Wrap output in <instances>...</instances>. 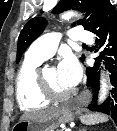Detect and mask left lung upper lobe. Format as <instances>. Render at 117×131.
Instances as JSON below:
<instances>
[{"mask_svg":"<svg viewBox=\"0 0 117 131\" xmlns=\"http://www.w3.org/2000/svg\"><path fill=\"white\" fill-rule=\"evenodd\" d=\"M109 2V0H60L53 12L61 13L75 8L83 11L88 19H82L78 24L83 25L85 30L92 31L98 23L102 10ZM45 26L46 20L41 17H34L26 23L18 38L17 63L27 47L43 32ZM84 58L82 56V60Z\"/></svg>","mask_w":117,"mask_h":131,"instance_id":"5c2ea615","label":"left lung upper lobe"}]
</instances>
